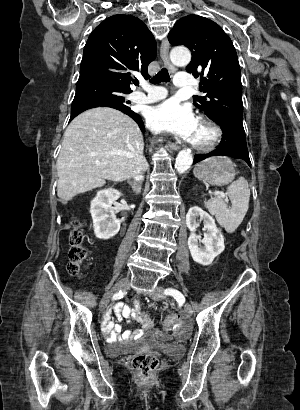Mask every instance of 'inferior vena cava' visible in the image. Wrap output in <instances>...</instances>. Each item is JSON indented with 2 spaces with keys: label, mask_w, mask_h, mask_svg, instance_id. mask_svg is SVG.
I'll return each mask as SVG.
<instances>
[{
  "label": "inferior vena cava",
  "mask_w": 300,
  "mask_h": 410,
  "mask_svg": "<svg viewBox=\"0 0 300 410\" xmlns=\"http://www.w3.org/2000/svg\"><path fill=\"white\" fill-rule=\"evenodd\" d=\"M141 173H142V171L138 172V173L134 176V179H135L136 181H141V180H143V176L141 175Z\"/></svg>",
  "instance_id": "602c4592"
}]
</instances>
